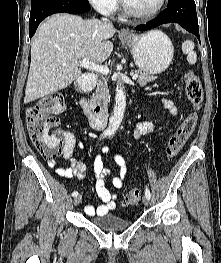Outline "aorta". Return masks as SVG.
<instances>
[{
  "label": "aorta",
  "mask_w": 221,
  "mask_h": 263,
  "mask_svg": "<svg viewBox=\"0 0 221 263\" xmlns=\"http://www.w3.org/2000/svg\"><path fill=\"white\" fill-rule=\"evenodd\" d=\"M125 108L126 95L124 87L123 84L118 81L116 85L115 106L113 109V113L109 119V125L106 130L107 134L112 135L118 130L124 117Z\"/></svg>",
  "instance_id": "1"
}]
</instances>
